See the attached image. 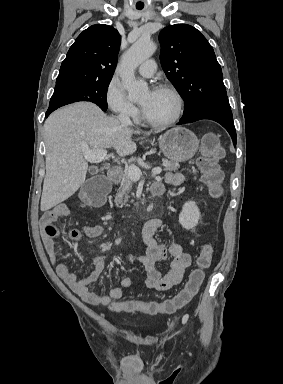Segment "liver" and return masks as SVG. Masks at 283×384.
<instances>
[{
  "label": "liver",
  "mask_w": 283,
  "mask_h": 384,
  "mask_svg": "<svg viewBox=\"0 0 283 384\" xmlns=\"http://www.w3.org/2000/svg\"><path fill=\"white\" fill-rule=\"evenodd\" d=\"M133 134L141 132L122 126L117 118H108L91 102H76L53 112L44 124L47 154L41 212L68 200L84 184L86 150L114 148L118 156H130L137 150Z\"/></svg>",
  "instance_id": "1"
}]
</instances>
